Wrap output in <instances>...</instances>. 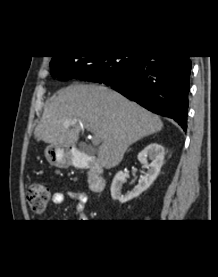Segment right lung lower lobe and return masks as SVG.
Returning <instances> with one entry per match:
<instances>
[{"label":"right lung lower lobe","mask_w":218,"mask_h":277,"mask_svg":"<svg viewBox=\"0 0 218 277\" xmlns=\"http://www.w3.org/2000/svg\"><path fill=\"white\" fill-rule=\"evenodd\" d=\"M190 56H141L120 80L101 81L146 109L187 128Z\"/></svg>","instance_id":"right-lung-lower-lobe-1"}]
</instances>
